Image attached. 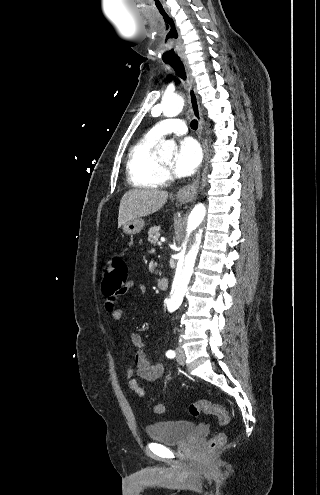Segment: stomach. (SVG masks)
Returning a JSON list of instances; mask_svg holds the SVG:
<instances>
[{"label": "stomach", "instance_id": "1", "mask_svg": "<svg viewBox=\"0 0 320 495\" xmlns=\"http://www.w3.org/2000/svg\"><path fill=\"white\" fill-rule=\"evenodd\" d=\"M144 228V220L142 218H136L126 222L123 225V231L127 235L138 234Z\"/></svg>", "mask_w": 320, "mask_h": 495}]
</instances>
